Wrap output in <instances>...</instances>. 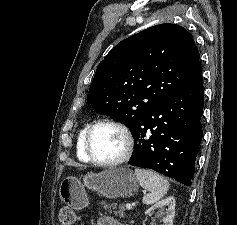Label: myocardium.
<instances>
[{
  "mask_svg": "<svg viewBox=\"0 0 237 225\" xmlns=\"http://www.w3.org/2000/svg\"><path fill=\"white\" fill-rule=\"evenodd\" d=\"M104 125L112 126V127L116 128L117 130H119L121 132V134L124 137V140H125L124 151L116 159L100 160V159L96 158L92 152V149H91L92 135L98 127L104 126ZM133 148H134V141H133V137H132L130 130L124 124H122L116 120H113V119L106 118V119H101V120L94 122L93 124H91L89 126V128L86 132V135H85V140H84L85 153H86L87 157L89 158V160L96 165L112 167V166H117V165L123 164L130 158V156L133 152Z\"/></svg>",
  "mask_w": 237,
  "mask_h": 225,
  "instance_id": "myocardium-1",
  "label": "myocardium"
}]
</instances>
